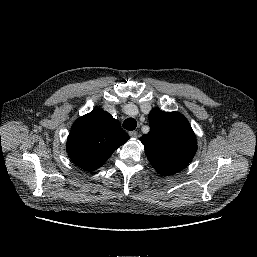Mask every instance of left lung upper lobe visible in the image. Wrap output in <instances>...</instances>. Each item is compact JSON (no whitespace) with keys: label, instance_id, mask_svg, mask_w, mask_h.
<instances>
[{"label":"left lung upper lobe","instance_id":"5c2ea615","mask_svg":"<svg viewBox=\"0 0 257 257\" xmlns=\"http://www.w3.org/2000/svg\"><path fill=\"white\" fill-rule=\"evenodd\" d=\"M149 125V133L139 140L151 165L163 176L183 170L197 150L196 137L188 120L178 112L152 109Z\"/></svg>","mask_w":257,"mask_h":257}]
</instances>
